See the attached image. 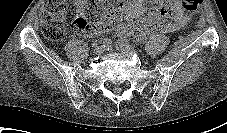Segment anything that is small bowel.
Returning a JSON list of instances; mask_svg holds the SVG:
<instances>
[{
	"label": "small bowel",
	"instance_id": "c3829d8e",
	"mask_svg": "<svg viewBox=\"0 0 227 133\" xmlns=\"http://www.w3.org/2000/svg\"><path fill=\"white\" fill-rule=\"evenodd\" d=\"M161 7L147 11L144 0H123L116 19L120 22L106 27L96 28L87 33L88 37H96L107 30H114L120 36H132L143 40L147 35L157 32H174L184 28L190 18L180 7L178 0H155ZM165 19V21H159Z\"/></svg>",
	"mask_w": 227,
	"mask_h": 133
}]
</instances>
